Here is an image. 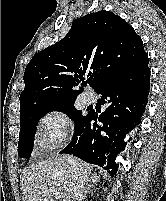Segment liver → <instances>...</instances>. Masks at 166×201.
I'll use <instances>...</instances> for the list:
<instances>
[{"instance_id":"6515ba94","label":"liver","mask_w":166,"mask_h":201,"mask_svg":"<svg viewBox=\"0 0 166 201\" xmlns=\"http://www.w3.org/2000/svg\"><path fill=\"white\" fill-rule=\"evenodd\" d=\"M66 155H56L45 161L32 164L25 169L21 178L23 201H74L72 167ZM73 158V157H72ZM84 182L91 178L92 166L73 158ZM53 193H58L55 198Z\"/></svg>"}]
</instances>
